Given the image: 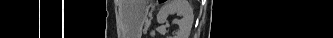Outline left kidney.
<instances>
[{"instance_id":"5707ae66","label":"left kidney","mask_w":333,"mask_h":38,"mask_svg":"<svg viewBox=\"0 0 333 38\" xmlns=\"http://www.w3.org/2000/svg\"><path fill=\"white\" fill-rule=\"evenodd\" d=\"M180 15L179 29L173 34V38H188L193 24V9L187 0H167L157 14V22L164 24L170 15ZM155 34V30L152 31Z\"/></svg>"}]
</instances>
